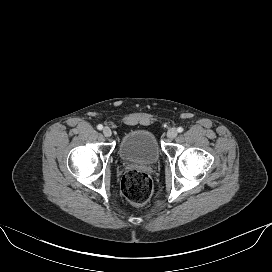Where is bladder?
Returning a JSON list of instances; mask_svg holds the SVG:
<instances>
[{"label":"bladder","instance_id":"31cf9c89","mask_svg":"<svg viewBox=\"0 0 272 272\" xmlns=\"http://www.w3.org/2000/svg\"><path fill=\"white\" fill-rule=\"evenodd\" d=\"M118 154L123 161L153 164L158 161L161 149L155 134L146 129L126 133L118 147Z\"/></svg>","mask_w":272,"mask_h":272}]
</instances>
